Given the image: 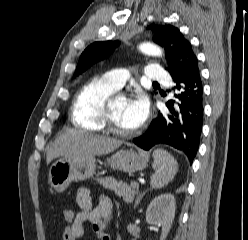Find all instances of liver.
<instances>
[{"mask_svg":"<svg viewBox=\"0 0 248 240\" xmlns=\"http://www.w3.org/2000/svg\"><path fill=\"white\" fill-rule=\"evenodd\" d=\"M122 141L83 131H68L60 135L47 151V164L58 157L74 158L108 154L122 145Z\"/></svg>","mask_w":248,"mask_h":240,"instance_id":"1","label":"liver"}]
</instances>
